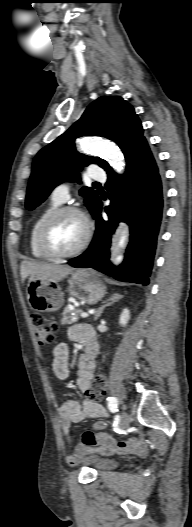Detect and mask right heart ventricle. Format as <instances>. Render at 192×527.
<instances>
[{
	"mask_svg": "<svg viewBox=\"0 0 192 527\" xmlns=\"http://www.w3.org/2000/svg\"><path fill=\"white\" fill-rule=\"evenodd\" d=\"M60 202L51 200L34 218L29 231V248L33 257L37 259H49L40 249L38 233L45 219L60 206Z\"/></svg>",
	"mask_w": 192,
	"mask_h": 527,
	"instance_id": "right-heart-ventricle-1",
	"label": "right heart ventricle"
}]
</instances>
